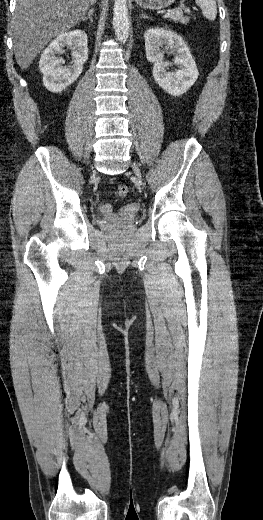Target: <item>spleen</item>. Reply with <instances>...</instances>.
I'll return each instance as SVG.
<instances>
[{"instance_id":"3e777b00","label":"spleen","mask_w":263,"mask_h":520,"mask_svg":"<svg viewBox=\"0 0 263 520\" xmlns=\"http://www.w3.org/2000/svg\"><path fill=\"white\" fill-rule=\"evenodd\" d=\"M202 10V14L208 20H215L217 15V6L215 0H195Z\"/></svg>"}]
</instances>
